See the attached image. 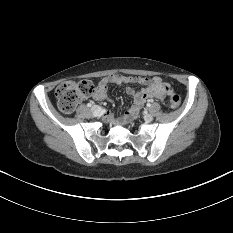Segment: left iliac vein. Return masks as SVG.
I'll list each match as a JSON object with an SVG mask.
<instances>
[{"mask_svg":"<svg viewBox=\"0 0 233 233\" xmlns=\"http://www.w3.org/2000/svg\"><path fill=\"white\" fill-rule=\"evenodd\" d=\"M144 120L146 122H151L153 120V115H151V114H145L144 115Z\"/></svg>","mask_w":233,"mask_h":233,"instance_id":"1","label":"left iliac vein"}]
</instances>
